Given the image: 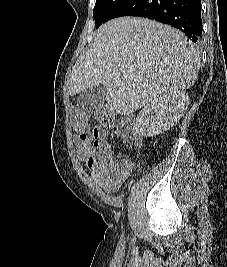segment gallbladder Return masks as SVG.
I'll use <instances>...</instances> for the list:
<instances>
[{"label": "gallbladder", "mask_w": 227, "mask_h": 267, "mask_svg": "<svg viewBox=\"0 0 227 267\" xmlns=\"http://www.w3.org/2000/svg\"><path fill=\"white\" fill-rule=\"evenodd\" d=\"M106 95L104 85L94 86L79 94L77 105L87 114L98 113L105 105Z\"/></svg>", "instance_id": "1"}]
</instances>
